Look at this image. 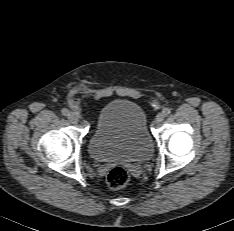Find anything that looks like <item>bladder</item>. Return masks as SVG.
Segmentation results:
<instances>
[{
  "label": "bladder",
  "mask_w": 234,
  "mask_h": 231,
  "mask_svg": "<svg viewBox=\"0 0 234 231\" xmlns=\"http://www.w3.org/2000/svg\"><path fill=\"white\" fill-rule=\"evenodd\" d=\"M88 151L92 159L102 163L148 161L153 140L143 108L127 99L107 103L88 140Z\"/></svg>",
  "instance_id": "1"
}]
</instances>
